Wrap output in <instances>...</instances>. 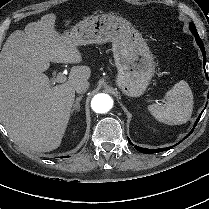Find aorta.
<instances>
[{
  "label": "aorta",
  "mask_w": 209,
  "mask_h": 209,
  "mask_svg": "<svg viewBox=\"0 0 209 209\" xmlns=\"http://www.w3.org/2000/svg\"><path fill=\"white\" fill-rule=\"evenodd\" d=\"M113 106V99L105 93L96 94L91 100V108L95 113H107Z\"/></svg>",
  "instance_id": "obj_1"
}]
</instances>
